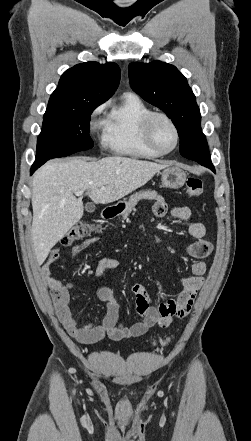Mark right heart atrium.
<instances>
[{
    "instance_id": "obj_1",
    "label": "right heart atrium",
    "mask_w": 251,
    "mask_h": 441,
    "mask_svg": "<svg viewBox=\"0 0 251 441\" xmlns=\"http://www.w3.org/2000/svg\"><path fill=\"white\" fill-rule=\"evenodd\" d=\"M103 109H104V106L101 105L93 111L92 116H91V122H90L91 130H95L102 125L100 115H101Z\"/></svg>"
}]
</instances>
